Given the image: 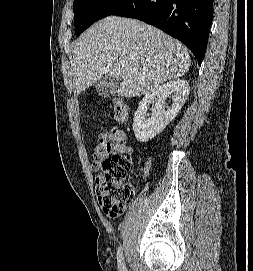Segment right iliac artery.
<instances>
[{
	"mask_svg": "<svg viewBox=\"0 0 253 271\" xmlns=\"http://www.w3.org/2000/svg\"><path fill=\"white\" fill-rule=\"evenodd\" d=\"M117 261H118L119 271H127L125 263H124L121 247H119L118 252H117Z\"/></svg>",
	"mask_w": 253,
	"mask_h": 271,
	"instance_id": "82829eb1",
	"label": "right iliac artery"
}]
</instances>
